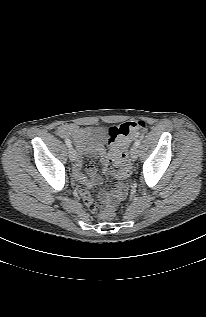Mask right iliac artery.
Masks as SVG:
<instances>
[{
	"label": "right iliac artery",
	"instance_id": "obj_1",
	"mask_svg": "<svg viewBox=\"0 0 206 317\" xmlns=\"http://www.w3.org/2000/svg\"><path fill=\"white\" fill-rule=\"evenodd\" d=\"M65 143L69 148L72 147L71 141L69 139H66Z\"/></svg>",
	"mask_w": 206,
	"mask_h": 317
}]
</instances>
